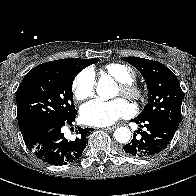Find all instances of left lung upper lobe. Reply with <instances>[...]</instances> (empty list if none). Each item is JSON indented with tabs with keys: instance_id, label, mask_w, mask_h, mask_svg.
Instances as JSON below:
<instances>
[{
	"instance_id": "5c2ea615",
	"label": "left lung upper lobe",
	"mask_w": 196,
	"mask_h": 196,
	"mask_svg": "<svg viewBox=\"0 0 196 196\" xmlns=\"http://www.w3.org/2000/svg\"><path fill=\"white\" fill-rule=\"evenodd\" d=\"M144 77L149 99L138 119L157 118L178 128L183 92L174 75L165 65L139 57H123Z\"/></svg>"
}]
</instances>
